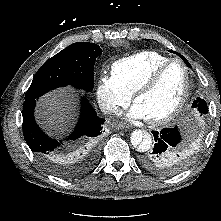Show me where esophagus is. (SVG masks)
Returning <instances> with one entry per match:
<instances>
[{
  "instance_id": "34e87169",
  "label": "esophagus",
  "mask_w": 221,
  "mask_h": 221,
  "mask_svg": "<svg viewBox=\"0 0 221 221\" xmlns=\"http://www.w3.org/2000/svg\"><path fill=\"white\" fill-rule=\"evenodd\" d=\"M112 125V128L116 129V130H119V129H123L126 127L125 124L123 123H118V122H114L111 124Z\"/></svg>"
}]
</instances>
